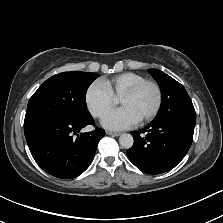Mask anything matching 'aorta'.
Returning a JSON list of instances; mask_svg holds the SVG:
<instances>
[{
    "label": "aorta",
    "mask_w": 223,
    "mask_h": 223,
    "mask_svg": "<svg viewBox=\"0 0 223 223\" xmlns=\"http://www.w3.org/2000/svg\"><path fill=\"white\" fill-rule=\"evenodd\" d=\"M119 144L123 148H130L133 144V137L129 133H123L119 137Z\"/></svg>",
    "instance_id": "obj_1"
}]
</instances>
